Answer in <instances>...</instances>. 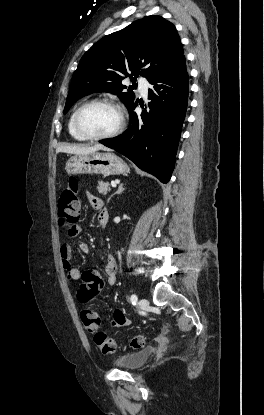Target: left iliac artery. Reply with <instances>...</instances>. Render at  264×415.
I'll return each mask as SVG.
<instances>
[{
  "instance_id": "obj_1",
  "label": "left iliac artery",
  "mask_w": 264,
  "mask_h": 415,
  "mask_svg": "<svg viewBox=\"0 0 264 415\" xmlns=\"http://www.w3.org/2000/svg\"><path fill=\"white\" fill-rule=\"evenodd\" d=\"M130 301L133 305H136L137 303V296L135 294H132L130 297Z\"/></svg>"
}]
</instances>
